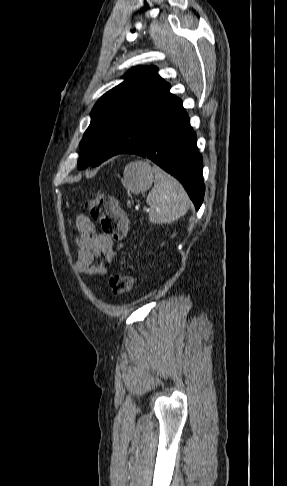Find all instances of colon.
I'll return each instance as SVG.
<instances>
[{"label": "colon", "mask_w": 287, "mask_h": 486, "mask_svg": "<svg viewBox=\"0 0 287 486\" xmlns=\"http://www.w3.org/2000/svg\"><path fill=\"white\" fill-rule=\"evenodd\" d=\"M92 218L101 224L104 234L117 242L119 249H124L129 232V222L124 211L114 197L97 192L87 201ZM132 277L127 272H118L109 278V287L114 295H121L132 287Z\"/></svg>", "instance_id": "colon-1"}]
</instances>
